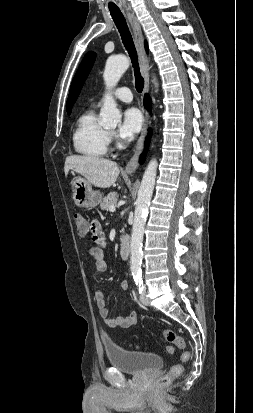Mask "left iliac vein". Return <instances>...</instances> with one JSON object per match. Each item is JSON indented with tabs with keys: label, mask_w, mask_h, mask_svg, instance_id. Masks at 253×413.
I'll list each match as a JSON object with an SVG mask.
<instances>
[{
	"label": "left iliac vein",
	"mask_w": 253,
	"mask_h": 413,
	"mask_svg": "<svg viewBox=\"0 0 253 413\" xmlns=\"http://www.w3.org/2000/svg\"><path fill=\"white\" fill-rule=\"evenodd\" d=\"M140 301L143 305H148L149 299L147 297L146 290L144 289L140 295Z\"/></svg>",
	"instance_id": "4c4485c4"
}]
</instances>
